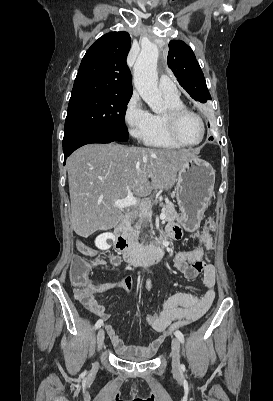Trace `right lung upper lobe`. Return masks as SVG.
<instances>
[{
    "label": "right lung upper lobe",
    "instance_id": "obj_1",
    "mask_svg": "<svg viewBox=\"0 0 273 401\" xmlns=\"http://www.w3.org/2000/svg\"><path fill=\"white\" fill-rule=\"evenodd\" d=\"M130 46L127 32L100 37L82 59L71 96L89 93L132 96L131 74L126 64Z\"/></svg>",
    "mask_w": 273,
    "mask_h": 401
}]
</instances>
